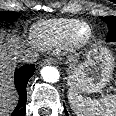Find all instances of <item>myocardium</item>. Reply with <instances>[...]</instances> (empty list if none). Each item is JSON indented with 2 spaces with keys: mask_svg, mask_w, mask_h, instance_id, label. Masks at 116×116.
Segmentation results:
<instances>
[{
  "mask_svg": "<svg viewBox=\"0 0 116 116\" xmlns=\"http://www.w3.org/2000/svg\"><path fill=\"white\" fill-rule=\"evenodd\" d=\"M92 37L93 28L91 25L79 21L66 35L64 47L69 53L76 54L88 45Z\"/></svg>",
  "mask_w": 116,
  "mask_h": 116,
  "instance_id": "myocardium-1",
  "label": "myocardium"
}]
</instances>
